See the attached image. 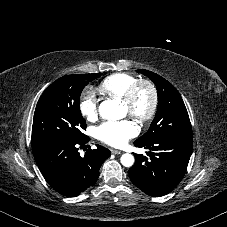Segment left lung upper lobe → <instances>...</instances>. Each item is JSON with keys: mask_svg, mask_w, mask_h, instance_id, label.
Masks as SVG:
<instances>
[{"mask_svg": "<svg viewBox=\"0 0 227 227\" xmlns=\"http://www.w3.org/2000/svg\"><path fill=\"white\" fill-rule=\"evenodd\" d=\"M156 85L158 109L148 131L135 143H151L163 138L192 135L187 109L176 88L163 77L148 70H137Z\"/></svg>", "mask_w": 227, "mask_h": 227, "instance_id": "obj_1", "label": "left lung upper lobe"}]
</instances>
